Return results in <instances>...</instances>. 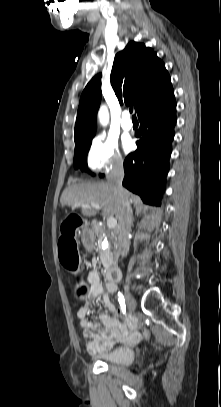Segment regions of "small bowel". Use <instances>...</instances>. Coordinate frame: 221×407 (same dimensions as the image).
I'll list each match as a JSON object with an SVG mask.
<instances>
[{
  "mask_svg": "<svg viewBox=\"0 0 221 407\" xmlns=\"http://www.w3.org/2000/svg\"><path fill=\"white\" fill-rule=\"evenodd\" d=\"M89 289L82 297L81 304L77 309V317L88 338L86 350L89 353H104L111 350L116 342L123 344H135L140 341L141 335L137 331V319L129 316L125 324H122L115 316L119 315V309L111 302L109 294L116 292L117 285L107 281L103 284L100 273L92 270L88 277ZM100 297L106 309L111 315L99 312L98 318L103 328H100L94 319H88L90 313L88 301Z\"/></svg>",
  "mask_w": 221,
  "mask_h": 407,
  "instance_id": "c3829d8e",
  "label": "small bowel"
}]
</instances>
